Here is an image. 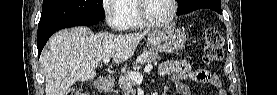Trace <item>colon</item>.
<instances>
[{
	"mask_svg": "<svg viewBox=\"0 0 277 95\" xmlns=\"http://www.w3.org/2000/svg\"><path fill=\"white\" fill-rule=\"evenodd\" d=\"M204 42V52L201 57V62L204 65H209L222 58L224 39L216 28L205 29ZM68 94L85 95L86 92L83 88H72Z\"/></svg>",
	"mask_w": 277,
	"mask_h": 95,
	"instance_id": "5ec220e1",
	"label": "colon"
}]
</instances>
